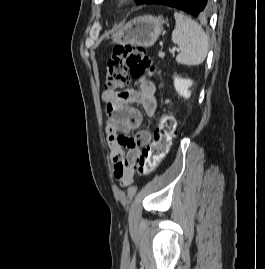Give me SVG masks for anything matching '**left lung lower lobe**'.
<instances>
[{"label":"left lung lower lobe","mask_w":265,"mask_h":269,"mask_svg":"<svg viewBox=\"0 0 265 269\" xmlns=\"http://www.w3.org/2000/svg\"><path fill=\"white\" fill-rule=\"evenodd\" d=\"M143 4H159L177 8L195 18H205L210 14L208 0H146Z\"/></svg>","instance_id":"obj_1"}]
</instances>
